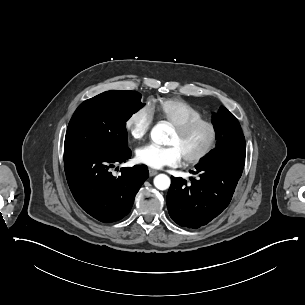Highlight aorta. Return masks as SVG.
<instances>
[{
    "label": "aorta",
    "mask_w": 305,
    "mask_h": 305,
    "mask_svg": "<svg viewBox=\"0 0 305 305\" xmlns=\"http://www.w3.org/2000/svg\"><path fill=\"white\" fill-rule=\"evenodd\" d=\"M169 132V126L166 123H158L151 130V138L157 144H165L167 135ZM154 185L159 190H166L170 187V178L165 174L157 175L154 180Z\"/></svg>",
    "instance_id": "aorta-1"
}]
</instances>
